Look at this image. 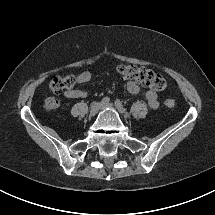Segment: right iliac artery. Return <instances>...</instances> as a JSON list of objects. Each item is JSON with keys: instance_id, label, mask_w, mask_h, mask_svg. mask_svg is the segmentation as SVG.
<instances>
[{"instance_id": "right-iliac-artery-1", "label": "right iliac artery", "mask_w": 215, "mask_h": 215, "mask_svg": "<svg viewBox=\"0 0 215 215\" xmlns=\"http://www.w3.org/2000/svg\"><path fill=\"white\" fill-rule=\"evenodd\" d=\"M110 101V98L109 97H104L102 100H101V104H108Z\"/></svg>"}]
</instances>
